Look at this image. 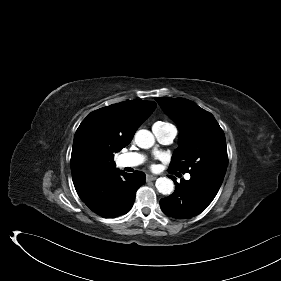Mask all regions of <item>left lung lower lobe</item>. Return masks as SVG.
I'll list each match as a JSON object with an SVG mask.
<instances>
[{
  "label": "left lung lower lobe",
  "instance_id": "obj_1",
  "mask_svg": "<svg viewBox=\"0 0 281 281\" xmlns=\"http://www.w3.org/2000/svg\"><path fill=\"white\" fill-rule=\"evenodd\" d=\"M170 172V171H169ZM190 180L175 179V191L167 198L161 199L162 210L176 219H190L206 209L218 193L224 176L214 173L190 174Z\"/></svg>",
  "mask_w": 281,
  "mask_h": 281
}]
</instances>
